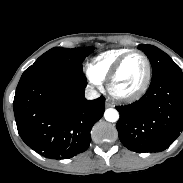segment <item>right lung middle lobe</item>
Here are the masks:
<instances>
[{
	"label": "right lung middle lobe",
	"mask_w": 183,
	"mask_h": 183,
	"mask_svg": "<svg viewBox=\"0 0 183 183\" xmlns=\"http://www.w3.org/2000/svg\"><path fill=\"white\" fill-rule=\"evenodd\" d=\"M92 51H94L93 47L73 49L54 47L41 55L21 77L49 75L62 71H82V62Z\"/></svg>",
	"instance_id": "dd1d6c3e"
}]
</instances>
